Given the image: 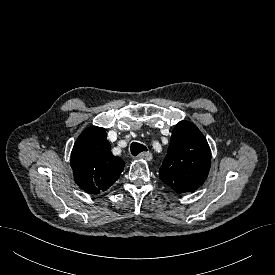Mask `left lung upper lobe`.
<instances>
[{"label":"left lung upper lobe","instance_id":"5c2ea615","mask_svg":"<svg viewBox=\"0 0 275 275\" xmlns=\"http://www.w3.org/2000/svg\"><path fill=\"white\" fill-rule=\"evenodd\" d=\"M210 164L211 151L203 134L193 123L181 121L172 131L159 177L178 193L191 192L204 183Z\"/></svg>","mask_w":275,"mask_h":275}]
</instances>
